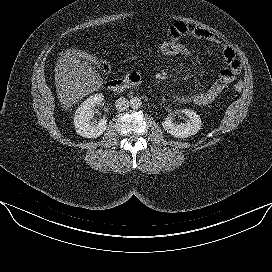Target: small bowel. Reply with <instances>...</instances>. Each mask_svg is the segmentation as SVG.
Segmentation results:
<instances>
[{
  "label": "small bowel",
  "mask_w": 272,
  "mask_h": 272,
  "mask_svg": "<svg viewBox=\"0 0 272 272\" xmlns=\"http://www.w3.org/2000/svg\"><path fill=\"white\" fill-rule=\"evenodd\" d=\"M168 36L172 39H181L190 36L203 39L220 46L224 67L220 70L217 79L204 91L195 93L191 96H179L176 100L180 103H193L197 106H207L218 98L224 89L234 80L241 70V64L236 58L234 50L216 34L183 22H175L168 29Z\"/></svg>",
  "instance_id": "small-bowel-1"
}]
</instances>
